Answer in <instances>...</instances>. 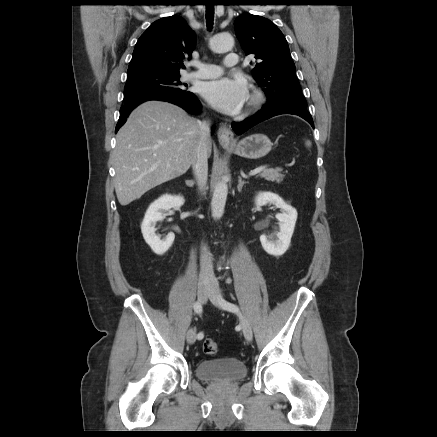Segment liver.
I'll return each instance as SVG.
<instances>
[{"label":"liver","mask_w":437,"mask_h":437,"mask_svg":"<svg viewBox=\"0 0 437 437\" xmlns=\"http://www.w3.org/2000/svg\"><path fill=\"white\" fill-rule=\"evenodd\" d=\"M199 139V121L174 104L147 101L135 108L118 131L112 154L119 203L126 206L185 174L195 159ZM211 148L210 140L209 156Z\"/></svg>","instance_id":"6515ba94"}]
</instances>
